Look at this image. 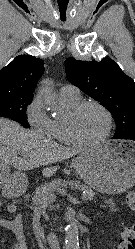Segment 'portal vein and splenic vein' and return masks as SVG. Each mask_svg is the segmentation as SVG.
Masks as SVG:
<instances>
[{"instance_id":"portal-vein-and-splenic-vein-1","label":"portal vein and splenic vein","mask_w":135,"mask_h":249,"mask_svg":"<svg viewBox=\"0 0 135 249\" xmlns=\"http://www.w3.org/2000/svg\"><path fill=\"white\" fill-rule=\"evenodd\" d=\"M55 198H56L55 195L52 194V195L50 196V201L53 202V201L55 200ZM82 199L85 200L86 197L83 196Z\"/></svg>"}]
</instances>
